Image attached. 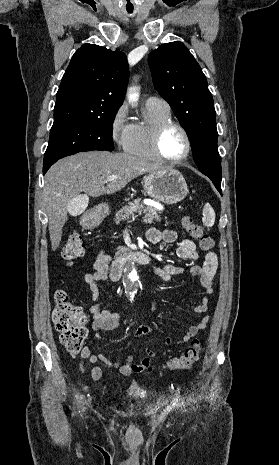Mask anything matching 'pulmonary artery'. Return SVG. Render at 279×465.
<instances>
[{
  "mask_svg": "<svg viewBox=\"0 0 279 465\" xmlns=\"http://www.w3.org/2000/svg\"><path fill=\"white\" fill-rule=\"evenodd\" d=\"M146 104L147 105H156V106H162V107L169 108V105L165 100H163L162 98L156 97V96H150L146 100Z\"/></svg>",
  "mask_w": 279,
  "mask_h": 465,
  "instance_id": "pulmonary-artery-1",
  "label": "pulmonary artery"
}]
</instances>
